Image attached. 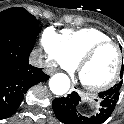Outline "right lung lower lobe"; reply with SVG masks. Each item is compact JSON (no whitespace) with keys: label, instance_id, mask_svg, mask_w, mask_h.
Listing matches in <instances>:
<instances>
[{"label":"right lung lower lobe","instance_id":"right-lung-lower-lobe-1","mask_svg":"<svg viewBox=\"0 0 124 124\" xmlns=\"http://www.w3.org/2000/svg\"><path fill=\"white\" fill-rule=\"evenodd\" d=\"M40 31L38 26L0 29V120L16 112L31 86L49 79L42 68L29 63Z\"/></svg>","mask_w":124,"mask_h":124}]
</instances>
